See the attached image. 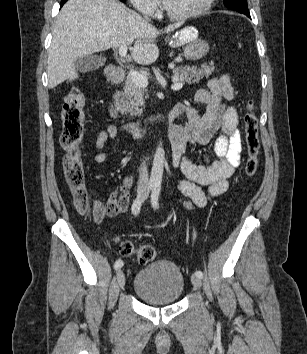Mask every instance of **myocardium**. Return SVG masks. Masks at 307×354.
<instances>
[{
  "label": "myocardium",
  "mask_w": 307,
  "mask_h": 354,
  "mask_svg": "<svg viewBox=\"0 0 307 354\" xmlns=\"http://www.w3.org/2000/svg\"><path fill=\"white\" fill-rule=\"evenodd\" d=\"M215 0H203L202 4L195 10L184 14H174L166 8V15L175 21H186L199 17L206 13L213 5Z\"/></svg>",
  "instance_id": "myocardium-1"
}]
</instances>
